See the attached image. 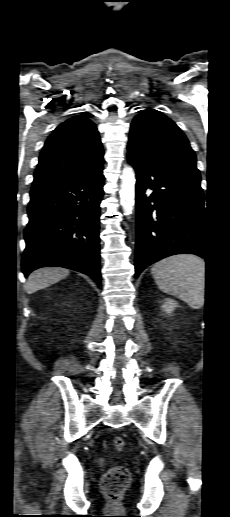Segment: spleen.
Wrapping results in <instances>:
<instances>
[{"instance_id":"3e777b00","label":"spleen","mask_w":230,"mask_h":517,"mask_svg":"<svg viewBox=\"0 0 230 517\" xmlns=\"http://www.w3.org/2000/svg\"><path fill=\"white\" fill-rule=\"evenodd\" d=\"M151 273L159 289L197 309L205 301V262L195 255H175L157 262Z\"/></svg>"}]
</instances>
